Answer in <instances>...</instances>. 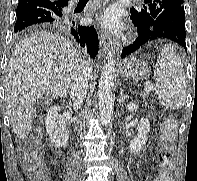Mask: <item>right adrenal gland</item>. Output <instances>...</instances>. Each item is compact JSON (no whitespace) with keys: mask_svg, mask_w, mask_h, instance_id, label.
<instances>
[{"mask_svg":"<svg viewBox=\"0 0 197 181\" xmlns=\"http://www.w3.org/2000/svg\"><path fill=\"white\" fill-rule=\"evenodd\" d=\"M69 106H72V103L71 102L69 103Z\"/></svg>","mask_w":197,"mask_h":181,"instance_id":"obj_1","label":"right adrenal gland"}]
</instances>
